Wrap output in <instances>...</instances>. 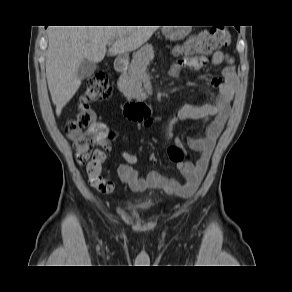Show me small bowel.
<instances>
[{"instance_id":"c3829d8e","label":"small bowel","mask_w":292,"mask_h":292,"mask_svg":"<svg viewBox=\"0 0 292 292\" xmlns=\"http://www.w3.org/2000/svg\"><path fill=\"white\" fill-rule=\"evenodd\" d=\"M211 62L214 65L226 64L222 70V75L210 80L211 85L217 89V95L209 103L183 105L177 114L168 120L164 126L165 137L171 138L173 127L178 121L202 120L205 122L204 132L187 141L188 147L198 154L196 162L187 161L176 164L182 173L184 182L167 177L158 171H151L146 176H141L139 171L133 167L138 162V157L123 151L121 156L124 162L119 164L117 173L120 180L132 190L144 191L155 188L179 197H190L197 190L207 170L210 155L216 141L230 116V105L237 83L236 71L231 56L222 51H216L212 55ZM206 64L207 58L204 56H184L171 65L169 75L177 77L184 68L200 70ZM146 123H150V120L146 121ZM113 137L114 134L104 129L96 144L101 148L106 147L108 141ZM176 144L179 147L181 145L178 139Z\"/></svg>"}]
</instances>
